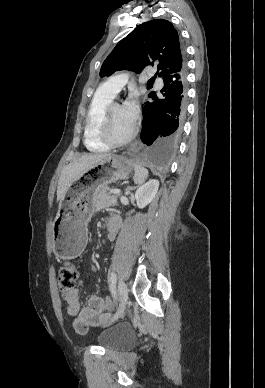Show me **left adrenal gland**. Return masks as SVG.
<instances>
[{
    "instance_id": "1",
    "label": "left adrenal gland",
    "mask_w": 265,
    "mask_h": 388,
    "mask_svg": "<svg viewBox=\"0 0 265 388\" xmlns=\"http://www.w3.org/2000/svg\"><path fill=\"white\" fill-rule=\"evenodd\" d=\"M128 190H133L132 186H128Z\"/></svg>"
}]
</instances>
